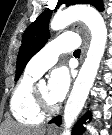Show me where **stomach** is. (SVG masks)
Returning a JSON list of instances; mask_svg holds the SVG:
<instances>
[{
    "mask_svg": "<svg viewBox=\"0 0 112 135\" xmlns=\"http://www.w3.org/2000/svg\"><path fill=\"white\" fill-rule=\"evenodd\" d=\"M48 135H53L51 132H48Z\"/></svg>",
    "mask_w": 112,
    "mask_h": 135,
    "instance_id": "obj_1",
    "label": "stomach"
}]
</instances>
